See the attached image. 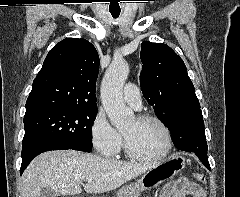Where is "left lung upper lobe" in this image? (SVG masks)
Here are the masks:
<instances>
[{
	"instance_id": "left-lung-upper-lobe-1",
	"label": "left lung upper lobe",
	"mask_w": 240,
	"mask_h": 197,
	"mask_svg": "<svg viewBox=\"0 0 240 197\" xmlns=\"http://www.w3.org/2000/svg\"><path fill=\"white\" fill-rule=\"evenodd\" d=\"M143 68L140 83L143 96L172 135L191 120H203L199 101L183 60L166 44H141ZM207 145L188 147L193 153H207Z\"/></svg>"
}]
</instances>
